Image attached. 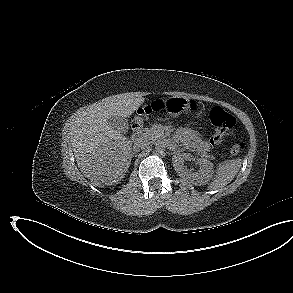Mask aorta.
<instances>
[{
	"instance_id": "aorta-1",
	"label": "aorta",
	"mask_w": 293,
	"mask_h": 293,
	"mask_svg": "<svg viewBox=\"0 0 293 293\" xmlns=\"http://www.w3.org/2000/svg\"><path fill=\"white\" fill-rule=\"evenodd\" d=\"M166 148V144L165 142L163 141H158L155 143V149L158 151V152H162L164 151Z\"/></svg>"
}]
</instances>
